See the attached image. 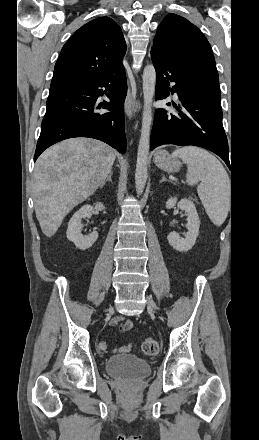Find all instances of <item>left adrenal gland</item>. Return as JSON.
Here are the masks:
<instances>
[{
	"label": "left adrenal gland",
	"instance_id": "left-adrenal-gland-1",
	"mask_svg": "<svg viewBox=\"0 0 259 440\" xmlns=\"http://www.w3.org/2000/svg\"><path fill=\"white\" fill-rule=\"evenodd\" d=\"M164 181H168L165 177V175H162V179L160 180V183L164 182Z\"/></svg>",
	"mask_w": 259,
	"mask_h": 440
}]
</instances>
